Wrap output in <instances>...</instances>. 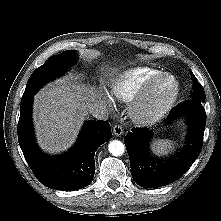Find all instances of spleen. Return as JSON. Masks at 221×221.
Segmentation results:
<instances>
[{
    "label": "spleen",
    "instance_id": "obj_1",
    "mask_svg": "<svg viewBox=\"0 0 221 221\" xmlns=\"http://www.w3.org/2000/svg\"><path fill=\"white\" fill-rule=\"evenodd\" d=\"M174 148V142L165 139H158L152 144V149L157 154H166Z\"/></svg>",
    "mask_w": 221,
    "mask_h": 221
}]
</instances>
